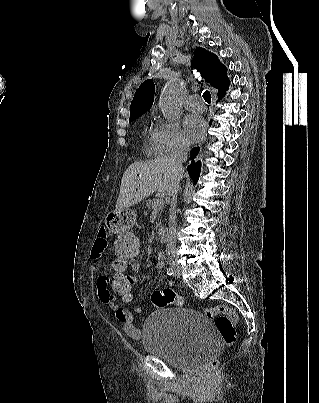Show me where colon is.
<instances>
[{
    "label": "colon",
    "instance_id": "1",
    "mask_svg": "<svg viewBox=\"0 0 319 403\" xmlns=\"http://www.w3.org/2000/svg\"><path fill=\"white\" fill-rule=\"evenodd\" d=\"M109 230V227H108ZM136 254H142V243L140 234H115L113 247V273H111V283L113 291L120 304H135L134 283L132 281V270L138 268L139 260ZM151 301L155 307L162 309L172 304L182 306L183 300L171 289H162L153 292ZM204 314L214 319L215 327L227 346H233L236 342L235 322L236 312L226 306H215L203 309ZM218 368V361L213 360L208 365L209 371Z\"/></svg>",
    "mask_w": 319,
    "mask_h": 403
}]
</instances>
